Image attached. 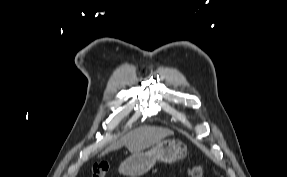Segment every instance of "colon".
<instances>
[{
  "label": "colon",
  "instance_id": "1",
  "mask_svg": "<svg viewBox=\"0 0 287 177\" xmlns=\"http://www.w3.org/2000/svg\"><path fill=\"white\" fill-rule=\"evenodd\" d=\"M110 170V164L106 161L97 162L92 168V177H106ZM189 177H205L206 168L202 163L192 165L188 169Z\"/></svg>",
  "mask_w": 287,
  "mask_h": 177
}]
</instances>
